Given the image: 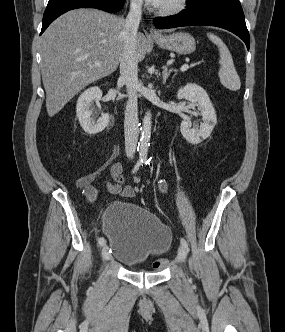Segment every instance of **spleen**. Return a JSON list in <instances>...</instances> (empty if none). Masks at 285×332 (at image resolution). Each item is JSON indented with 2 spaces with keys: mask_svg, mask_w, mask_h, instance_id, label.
<instances>
[{
  "mask_svg": "<svg viewBox=\"0 0 285 332\" xmlns=\"http://www.w3.org/2000/svg\"><path fill=\"white\" fill-rule=\"evenodd\" d=\"M208 38L218 47L219 50V64L220 69L218 72L221 84L231 90L236 91L241 87L240 78L235 70L232 56L229 49L224 42L212 33L207 34Z\"/></svg>",
  "mask_w": 285,
  "mask_h": 332,
  "instance_id": "spleen-1",
  "label": "spleen"
}]
</instances>
